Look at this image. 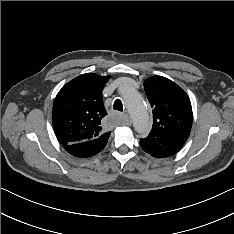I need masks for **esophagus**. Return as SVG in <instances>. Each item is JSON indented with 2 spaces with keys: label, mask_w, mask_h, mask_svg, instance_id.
<instances>
[{
  "label": "esophagus",
  "mask_w": 234,
  "mask_h": 234,
  "mask_svg": "<svg viewBox=\"0 0 234 234\" xmlns=\"http://www.w3.org/2000/svg\"><path fill=\"white\" fill-rule=\"evenodd\" d=\"M121 116H122V118H123V120H124V122H125L126 125H130L131 124V119H130V117H129L128 114L123 113Z\"/></svg>",
  "instance_id": "34e87169"
}]
</instances>
